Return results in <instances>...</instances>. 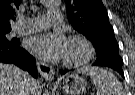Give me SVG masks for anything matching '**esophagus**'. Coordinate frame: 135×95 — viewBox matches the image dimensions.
<instances>
[{
	"label": "esophagus",
	"instance_id": "esophagus-1",
	"mask_svg": "<svg viewBox=\"0 0 135 95\" xmlns=\"http://www.w3.org/2000/svg\"><path fill=\"white\" fill-rule=\"evenodd\" d=\"M37 68L39 73L47 80H53L55 71L53 67L47 63L37 61Z\"/></svg>",
	"mask_w": 135,
	"mask_h": 95
}]
</instances>
